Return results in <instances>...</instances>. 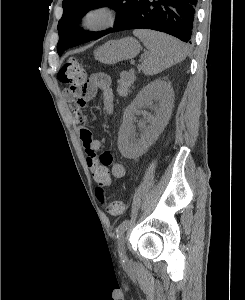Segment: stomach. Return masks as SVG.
I'll list each match as a JSON object with an SVG mask.
<instances>
[{
	"label": "stomach",
	"instance_id": "stomach-1",
	"mask_svg": "<svg viewBox=\"0 0 245 300\" xmlns=\"http://www.w3.org/2000/svg\"><path fill=\"white\" fill-rule=\"evenodd\" d=\"M140 43L133 37L111 40L94 51L96 60L105 64H115L134 58L140 52Z\"/></svg>",
	"mask_w": 245,
	"mask_h": 300
}]
</instances>
